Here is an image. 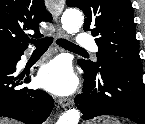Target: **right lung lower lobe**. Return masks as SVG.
Returning <instances> with one entry per match:
<instances>
[{
  "label": "right lung lower lobe",
  "mask_w": 145,
  "mask_h": 124,
  "mask_svg": "<svg viewBox=\"0 0 145 124\" xmlns=\"http://www.w3.org/2000/svg\"><path fill=\"white\" fill-rule=\"evenodd\" d=\"M22 54L0 56V117L13 118L25 124H41L51 113L54 100L42 90L18 88L30 82V77L14 75Z\"/></svg>",
  "instance_id": "1"
}]
</instances>
